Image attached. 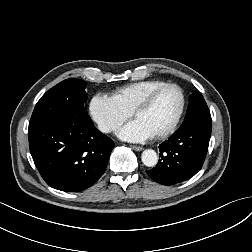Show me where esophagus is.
I'll return each instance as SVG.
<instances>
[{
	"label": "esophagus",
	"instance_id": "1",
	"mask_svg": "<svg viewBox=\"0 0 252 252\" xmlns=\"http://www.w3.org/2000/svg\"><path fill=\"white\" fill-rule=\"evenodd\" d=\"M130 147L135 150V151H142L143 150V147L141 146H136V145H130Z\"/></svg>",
	"mask_w": 252,
	"mask_h": 252
}]
</instances>
